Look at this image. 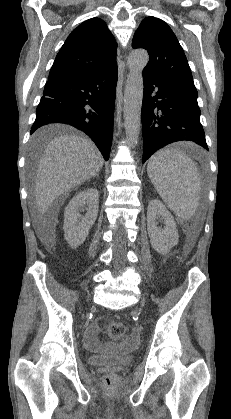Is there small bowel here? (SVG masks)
I'll use <instances>...</instances> for the list:
<instances>
[{"label":"small bowel","instance_id":"obj_1","mask_svg":"<svg viewBox=\"0 0 231 419\" xmlns=\"http://www.w3.org/2000/svg\"><path fill=\"white\" fill-rule=\"evenodd\" d=\"M99 331L98 324L96 322L91 323L85 332L86 346L91 350H96L98 348V342L96 335ZM130 342H136V337L132 336L129 339Z\"/></svg>","mask_w":231,"mask_h":419}]
</instances>
